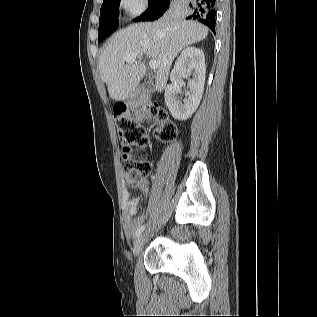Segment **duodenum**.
<instances>
[{
	"mask_svg": "<svg viewBox=\"0 0 317 317\" xmlns=\"http://www.w3.org/2000/svg\"><path fill=\"white\" fill-rule=\"evenodd\" d=\"M129 105L131 111L143 112V108L148 107V102L144 100H130Z\"/></svg>",
	"mask_w": 317,
	"mask_h": 317,
	"instance_id": "410a0bca",
	"label": "duodenum"
}]
</instances>
